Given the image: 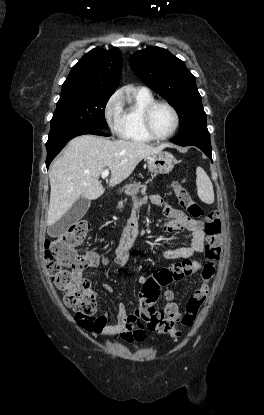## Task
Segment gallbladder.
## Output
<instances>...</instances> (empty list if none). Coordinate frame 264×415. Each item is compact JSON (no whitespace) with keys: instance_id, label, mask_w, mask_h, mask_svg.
<instances>
[{"instance_id":"obj_1","label":"gallbladder","mask_w":264,"mask_h":415,"mask_svg":"<svg viewBox=\"0 0 264 415\" xmlns=\"http://www.w3.org/2000/svg\"><path fill=\"white\" fill-rule=\"evenodd\" d=\"M90 201L85 197H79L69 211L51 227V234L57 236L63 234L67 228L78 222L88 211Z\"/></svg>"}]
</instances>
